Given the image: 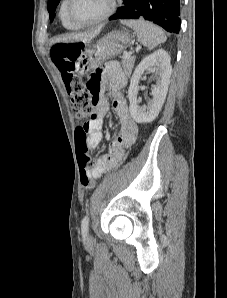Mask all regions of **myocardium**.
Masks as SVG:
<instances>
[{
  "label": "myocardium",
  "mask_w": 227,
  "mask_h": 298,
  "mask_svg": "<svg viewBox=\"0 0 227 298\" xmlns=\"http://www.w3.org/2000/svg\"><path fill=\"white\" fill-rule=\"evenodd\" d=\"M117 1L118 0H109L108 7H107L106 11L102 15H100L99 17H97L93 20H90V21L79 22V21L74 19V17L71 14V11H70L72 0H66V16H67V19L73 25H75L77 27H86V26L95 25V24H98V23H101V22L105 21L106 19H108L115 12V10L117 8Z\"/></svg>",
  "instance_id": "obj_1"
}]
</instances>
